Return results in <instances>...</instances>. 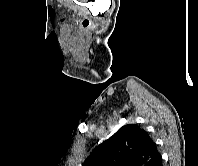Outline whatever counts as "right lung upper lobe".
<instances>
[{"label":"right lung upper lobe","mask_w":198,"mask_h":166,"mask_svg":"<svg viewBox=\"0 0 198 166\" xmlns=\"http://www.w3.org/2000/svg\"><path fill=\"white\" fill-rule=\"evenodd\" d=\"M158 155L149 134L137 124H129L97 146L83 166H149Z\"/></svg>","instance_id":"right-lung-upper-lobe-1"}]
</instances>
